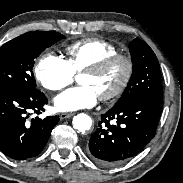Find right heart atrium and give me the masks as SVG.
Returning <instances> with one entry per match:
<instances>
[{"instance_id":"1","label":"right heart atrium","mask_w":183,"mask_h":183,"mask_svg":"<svg viewBox=\"0 0 183 183\" xmlns=\"http://www.w3.org/2000/svg\"><path fill=\"white\" fill-rule=\"evenodd\" d=\"M35 78L47 91H61L74 79V74L66 60L53 52H45L38 58Z\"/></svg>"}]
</instances>
